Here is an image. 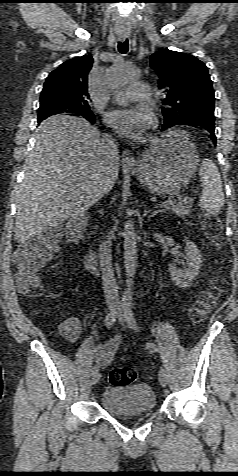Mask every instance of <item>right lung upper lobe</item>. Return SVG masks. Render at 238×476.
Listing matches in <instances>:
<instances>
[{"label": "right lung upper lobe", "instance_id": "cb5924a9", "mask_svg": "<svg viewBox=\"0 0 238 476\" xmlns=\"http://www.w3.org/2000/svg\"><path fill=\"white\" fill-rule=\"evenodd\" d=\"M90 55L75 57L61 64L47 77L40 102L51 101L68 107L89 106L88 73Z\"/></svg>", "mask_w": 238, "mask_h": 476}]
</instances>
